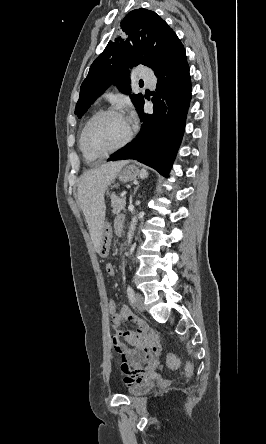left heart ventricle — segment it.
Here are the masks:
<instances>
[{
	"mask_svg": "<svg viewBox=\"0 0 266 444\" xmlns=\"http://www.w3.org/2000/svg\"><path fill=\"white\" fill-rule=\"evenodd\" d=\"M129 122L121 116L106 115L96 120L86 134L87 147L97 153L118 146L126 137Z\"/></svg>",
	"mask_w": 266,
	"mask_h": 444,
	"instance_id": "b2bd125f",
	"label": "left heart ventricle"
}]
</instances>
